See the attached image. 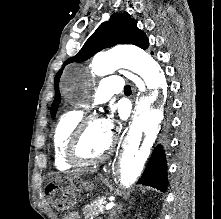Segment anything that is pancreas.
Masks as SVG:
<instances>
[{
  "instance_id": "pancreas-1",
  "label": "pancreas",
  "mask_w": 221,
  "mask_h": 219,
  "mask_svg": "<svg viewBox=\"0 0 221 219\" xmlns=\"http://www.w3.org/2000/svg\"><path fill=\"white\" fill-rule=\"evenodd\" d=\"M103 200H104V197H99L93 200L92 202H90V204H87L83 208V215L85 219H94L100 214H104V210H100V208L103 207L102 205Z\"/></svg>"
}]
</instances>
